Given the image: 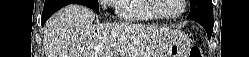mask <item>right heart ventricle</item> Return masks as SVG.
<instances>
[{
	"label": "right heart ventricle",
	"mask_w": 249,
	"mask_h": 57,
	"mask_svg": "<svg viewBox=\"0 0 249 57\" xmlns=\"http://www.w3.org/2000/svg\"><path fill=\"white\" fill-rule=\"evenodd\" d=\"M116 5L120 17L127 21H150L156 18L149 10L147 0H119Z\"/></svg>",
	"instance_id": "1"
}]
</instances>
